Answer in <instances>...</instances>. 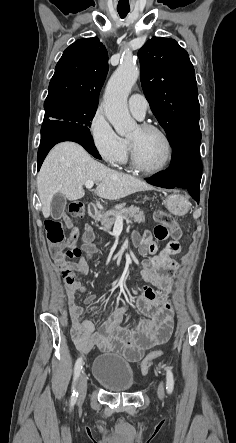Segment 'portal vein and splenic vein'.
<instances>
[{
  "label": "portal vein and splenic vein",
  "instance_id": "portal-vein-and-splenic-vein-1",
  "mask_svg": "<svg viewBox=\"0 0 236 443\" xmlns=\"http://www.w3.org/2000/svg\"><path fill=\"white\" fill-rule=\"evenodd\" d=\"M93 185H94V182H93V181H87V182H85V187H86L87 189H91V188L93 187ZM123 219H124L123 216L116 215V221H117V222H122Z\"/></svg>",
  "mask_w": 236,
  "mask_h": 443
}]
</instances>
